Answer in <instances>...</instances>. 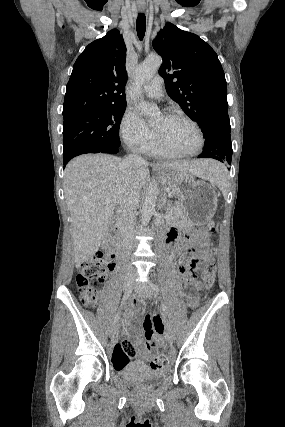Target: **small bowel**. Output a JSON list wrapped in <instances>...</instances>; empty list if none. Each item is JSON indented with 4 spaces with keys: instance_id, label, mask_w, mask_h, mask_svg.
Here are the masks:
<instances>
[{
    "instance_id": "small-bowel-1",
    "label": "small bowel",
    "mask_w": 285,
    "mask_h": 427,
    "mask_svg": "<svg viewBox=\"0 0 285 427\" xmlns=\"http://www.w3.org/2000/svg\"><path fill=\"white\" fill-rule=\"evenodd\" d=\"M178 231L173 229L168 233V242L175 245L177 249L181 247V238L178 236ZM198 299L189 301L188 306L194 307ZM142 302L138 304L139 309H142ZM135 315L132 312H125L123 316L124 323L128 326L127 336L133 338L135 342V353L127 356L120 350L119 345L114 343L112 362L117 369L124 367L130 358L136 359L139 362H145L152 357L153 345L152 341L160 342L161 331L159 329L160 318H147L143 322V332H141L134 324Z\"/></svg>"
}]
</instances>
